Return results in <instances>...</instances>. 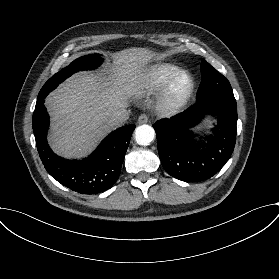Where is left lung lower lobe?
Returning <instances> with one entry per match:
<instances>
[{
    "label": "left lung lower lobe",
    "mask_w": 279,
    "mask_h": 279,
    "mask_svg": "<svg viewBox=\"0 0 279 279\" xmlns=\"http://www.w3.org/2000/svg\"><path fill=\"white\" fill-rule=\"evenodd\" d=\"M207 114L217 118L212 134L197 141L190 130ZM237 105L212 98L153 126L165 171L176 179L198 182L214 176L229 160L236 143Z\"/></svg>",
    "instance_id": "left-lung-lower-lobe-1"
}]
</instances>
